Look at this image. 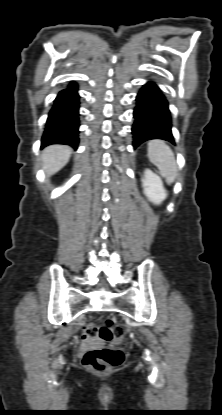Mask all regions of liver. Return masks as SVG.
<instances>
[{"instance_id": "liver-1", "label": "liver", "mask_w": 222, "mask_h": 415, "mask_svg": "<svg viewBox=\"0 0 222 415\" xmlns=\"http://www.w3.org/2000/svg\"><path fill=\"white\" fill-rule=\"evenodd\" d=\"M72 149L66 145H51L42 152L43 168L48 175L62 169L69 161Z\"/></svg>"}]
</instances>
